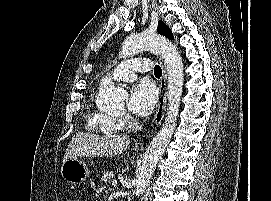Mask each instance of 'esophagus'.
<instances>
[{"label":"esophagus","mask_w":271,"mask_h":201,"mask_svg":"<svg viewBox=\"0 0 271 201\" xmlns=\"http://www.w3.org/2000/svg\"><path fill=\"white\" fill-rule=\"evenodd\" d=\"M160 64L162 67V75L159 83V102L157 106V110L153 119L155 125L159 126L164 118L165 110H166V85H167V71H166V63L161 58Z\"/></svg>","instance_id":"esophagus-1"}]
</instances>
